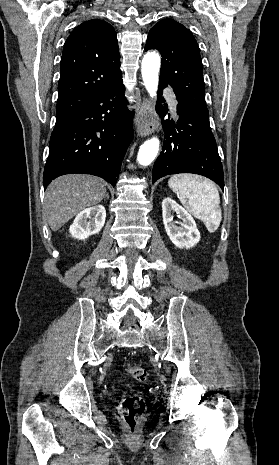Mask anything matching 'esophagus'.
<instances>
[{
    "label": "esophagus",
    "instance_id": "esophagus-1",
    "mask_svg": "<svg viewBox=\"0 0 279 465\" xmlns=\"http://www.w3.org/2000/svg\"><path fill=\"white\" fill-rule=\"evenodd\" d=\"M153 113L154 108L152 102L150 101V99L144 98L139 110V115L142 120L137 130L139 135L147 136L155 130Z\"/></svg>",
    "mask_w": 279,
    "mask_h": 465
}]
</instances>
